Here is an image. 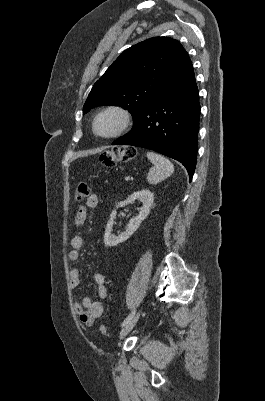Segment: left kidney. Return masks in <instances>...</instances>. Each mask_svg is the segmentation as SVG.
I'll use <instances>...</instances> for the list:
<instances>
[{"label": "left kidney", "mask_w": 265, "mask_h": 401, "mask_svg": "<svg viewBox=\"0 0 265 401\" xmlns=\"http://www.w3.org/2000/svg\"><path fill=\"white\" fill-rule=\"evenodd\" d=\"M136 198H138V201H141V203H143V207H141L139 215L129 221L126 227V231H124V233H120L118 237H116V235H112L114 219L117 213L116 209H119V207H125V205H129V203H134V201H136ZM153 201V192H151L149 188H142V190H137V192L129 194L128 198H126V201H121V203H118L115 211H112L110 219L106 225L104 235V243L106 247H116V245H119V243H124V241H127V239H129V237L133 235L134 231H137L140 223H142V221H144V219L148 217L149 211L153 205Z\"/></svg>", "instance_id": "1"}]
</instances>
